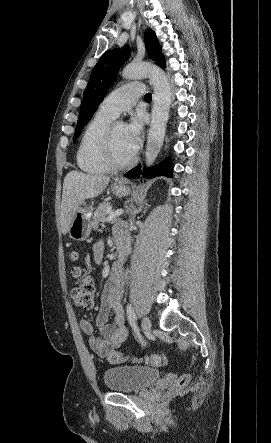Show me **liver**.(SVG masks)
<instances>
[{"mask_svg":"<svg viewBox=\"0 0 271 443\" xmlns=\"http://www.w3.org/2000/svg\"><path fill=\"white\" fill-rule=\"evenodd\" d=\"M109 182L110 178L107 176H91L82 172H69L65 176L60 214L62 233H67L73 216L79 210L80 202L100 196Z\"/></svg>","mask_w":271,"mask_h":443,"instance_id":"liver-1","label":"liver"}]
</instances>
